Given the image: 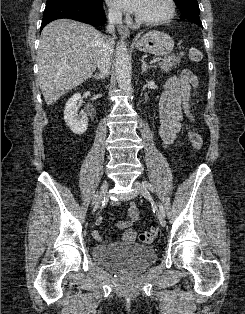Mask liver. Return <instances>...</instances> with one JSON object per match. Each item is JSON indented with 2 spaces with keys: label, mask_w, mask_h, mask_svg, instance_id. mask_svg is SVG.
Listing matches in <instances>:
<instances>
[{
  "label": "liver",
  "mask_w": 245,
  "mask_h": 314,
  "mask_svg": "<svg viewBox=\"0 0 245 314\" xmlns=\"http://www.w3.org/2000/svg\"><path fill=\"white\" fill-rule=\"evenodd\" d=\"M104 39L94 27L70 19L44 27L37 63L38 82L48 106L92 76Z\"/></svg>",
  "instance_id": "liver-1"
}]
</instances>
